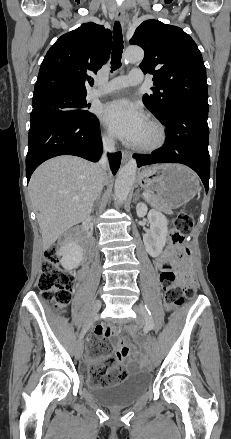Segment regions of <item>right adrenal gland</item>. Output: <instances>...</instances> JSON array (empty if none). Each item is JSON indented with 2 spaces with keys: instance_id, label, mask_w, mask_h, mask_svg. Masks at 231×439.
<instances>
[{
  "instance_id": "right-adrenal-gland-1",
  "label": "right adrenal gland",
  "mask_w": 231,
  "mask_h": 439,
  "mask_svg": "<svg viewBox=\"0 0 231 439\" xmlns=\"http://www.w3.org/2000/svg\"><path fill=\"white\" fill-rule=\"evenodd\" d=\"M99 199H100V196L97 197L96 201H98ZM92 211H94V206L92 207Z\"/></svg>"
}]
</instances>
